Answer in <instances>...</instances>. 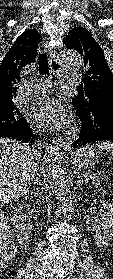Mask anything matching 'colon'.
I'll return each mask as SVG.
<instances>
[{
	"mask_svg": "<svg viewBox=\"0 0 113 279\" xmlns=\"http://www.w3.org/2000/svg\"><path fill=\"white\" fill-rule=\"evenodd\" d=\"M14 243L8 220L0 213V262L10 259Z\"/></svg>",
	"mask_w": 113,
	"mask_h": 279,
	"instance_id": "1",
	"label": "colon"
}]
</instances>
